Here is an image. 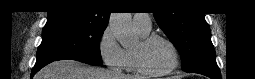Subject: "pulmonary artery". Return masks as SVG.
I'll list each match as a JSON object with an SVG mask.
<instances>
[{
	"label": "pulmonary artery",
	"mask_w": 255,
	"mask_h": 79,
	"mask_svg": "<svg viewBox=\"0 0 255 79\" xmlns=\"http://www.w3.org/2000/svg\"><path fill=\"white\" fill-rule=\"evenodd\" d=\"M133 24L135 28L141 29L143 31H150L151 20L149 14H135L133 16Z\"/></svg>",
	"instance_id": "obj_1"
}]
</instances>
